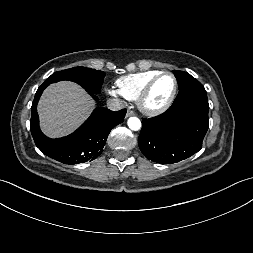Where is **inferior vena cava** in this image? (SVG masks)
Segmentation results:
<instances>
[{
    "instance_id": "obj_1",
    "label": "inferior vena cava",
    "mask_w": 253,
    "mask_h": 253,
    "mask_svg": "<svg viewBox=\"0 0 253 253\" xmlns=\"http://www.w3.org/2000/svg\"><path fill=\"white\" fill-rule=\"evenodd\" d=\"M107 107L112 111H117L124 108V104L117 98H110L107 101Z\"/></svg>"
}]
</instances>
